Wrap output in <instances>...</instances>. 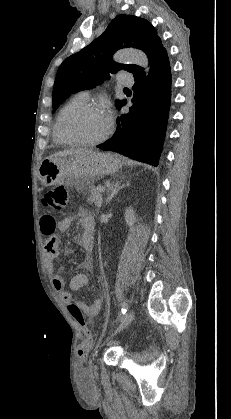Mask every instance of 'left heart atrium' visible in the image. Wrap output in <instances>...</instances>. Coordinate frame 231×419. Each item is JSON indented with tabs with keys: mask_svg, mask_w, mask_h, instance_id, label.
<instances>
[{
	"mask_svg": "<svg viewBox=\"0 0 231 419\" xmlns=\"http://www.w3.org/2000/svg\"><path fill=\"white\" fill-rule=\"evenodd\" d=\"M106 116H107L108 121H109V120H110V116H109V114H108V113H106Z\"/></svg>",
	"mask_w": 231,
	"mask_h": 419,
	"instance_id": "left-heart-atrium-1",
	"label": "left heart atrium"
}]
</instances>
